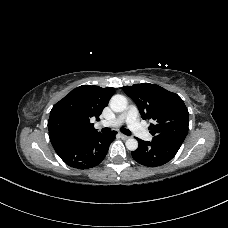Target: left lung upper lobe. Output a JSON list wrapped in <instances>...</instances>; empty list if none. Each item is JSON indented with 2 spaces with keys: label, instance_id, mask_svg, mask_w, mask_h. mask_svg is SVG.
<instances>
[{
  "label": "left lung upper lobe",
  "instance_id": "left-lung-upper-lobe-1",
  "mask_svg": "<svg viewBox=\"0 0 228 228\" xmlns=\"http://www.w3.org/2000/svg\"><path fill=\"white\" fill-rule=\"evenodd\" d=\"M123 90L137 104L141 117L153 120L149 127L153 139L183 143L188 133V110L177 94L150 83L125 86Z\"/></svg>",
  "mask_w": 228,
  "mask_h": 228
}]
</instances>
